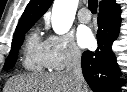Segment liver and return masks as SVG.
<instances>
[{
    "instance_id": "1",
    "label": "liver",
    "mask_w": 127,
    "mask_h": 92,
    "mask_svg": "<svg viewBox=\"0 0 127 92\" xmlns=\"http://www.w3.org/2000/svg\"><path fill=\"white\" fill-rule=\"evenodd\" d=\"M82 92H89L86 83ZM4 92H77L74 81L66 72L20 75L8 80Z\"/></svg>"
}]
</instances>
